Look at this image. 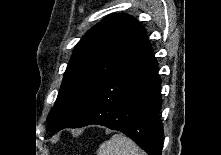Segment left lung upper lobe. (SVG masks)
<instances>
[{"label":"left lung upper lobe","instance_id":"obj_1","mask_svg":"<svg viewBox=\"0 0 221 155\" xmlns=\"http://www.w3.org/2000/svg\"><path fill=\"white\" fill-rule=\"evenodd\" d=\"M148 43L145 29L125 14L111 15L76 45L47 121L53 133L68 126L119 66Z\"/></svg>","mask_w":221,"mask_h":155}]
</instances>
